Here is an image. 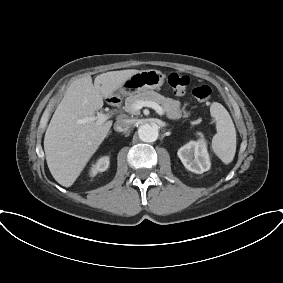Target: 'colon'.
Segmentation results:
<instances>
[{"instance_id": "5ec220e1", "label": "colon", "mask_w": 283, "mask_h": 283, "mask_svg": "<svg viewBox=\"0 0 283 283\" xmlns=\"http://www.w3.org/2000/svg\"><path fill=\"white\" fill-rule=\"evenodd\" d=\"M168 85L176 94H183L190 85V78L186 75L172 73L168 77ZM193 96L203 105H208L212 98V89L209 85H197L192 90Z\"/></svg>"}]
</instances>
